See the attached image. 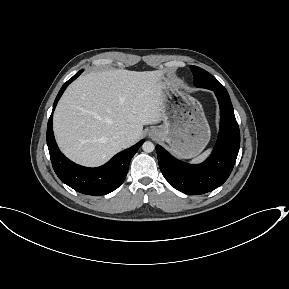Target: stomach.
<instances>
[{"label": "stomach", "instance_id": "0dacf381", "mask_svg": "<svg viewBox=\"0 0 289 289\" xmlns=\"http://www.w3.org/2000/svg\"><path fill=\"white\" fill-rule=\"evenodd\" d=\"M166 87L162 95L163 124L152 131L166 142L178 157L189 159L197 156L210 140V127L201 104L181 89L169 83L163 74Z\"/></svg>", "mask_w": 289, "mask_h": 289}]
</instances>
